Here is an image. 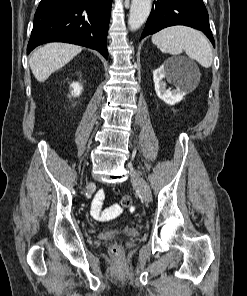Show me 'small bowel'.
I'll return each instance as SVG.
<instances>
[{"mask_svg": "<svg viewBox=\"0 0 247 296\" xmlns=\"http://www.w3.org/2000/svg\"><path fill=\"white\" fill-rule=\"evenodd\" d=\"M103 198H104V192L100 191L93 202L92 215L97 220H105L104 218L101 217V215L111 212V208H108L105 210L102 209L101 201Z\"/></svg>", "mask_w": 247, "mask_h": 296, "instance_id": "1", "label": "small bowel"}]
</instances>
